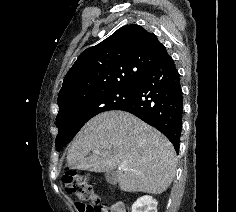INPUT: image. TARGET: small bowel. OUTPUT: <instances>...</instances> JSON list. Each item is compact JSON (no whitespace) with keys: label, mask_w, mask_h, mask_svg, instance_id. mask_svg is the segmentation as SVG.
I'll return each instance as SVG.
<instances>
[{"label":"small bowel","mask_w":236,"mask_h":212,"mask_svg":"<svg viewBox=\"0 0 236 212\" xmlns=\"http://www.w3.org/2000/svg\"><path fill=\"white\" fill-rule=\"evenodd\" d=\"M104 212H125V207L123 203L117 202L111 205L110 207L104 206Z\"/></svg>","instance_id":"1"}]
</instances>
